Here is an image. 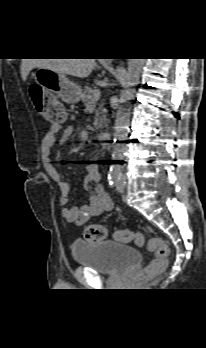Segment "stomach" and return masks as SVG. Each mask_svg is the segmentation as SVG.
<instances>
[{"label":"stomach","instance_id":"obj_1","mask_svg":"<svg viewBox=\"0 0 206 348\" xmlns=\"http://www.w3.org/2000/svg\"><path fill=\"white\" fill-rule=\"evenodd\" d=\"M35 82L43 93V105H36L39 113L45 111V95L51 94L61 98L67 103H76L82 97V90L79 85L68 80L65 74L58 73L47 68H38L33 74Z\"/></svg>","mask_w":206,"mask_h":348}]
</instances>
